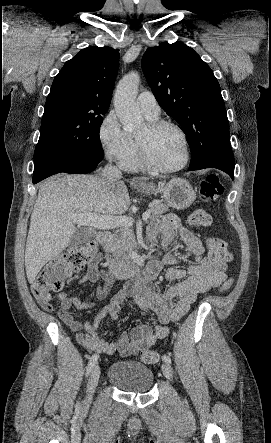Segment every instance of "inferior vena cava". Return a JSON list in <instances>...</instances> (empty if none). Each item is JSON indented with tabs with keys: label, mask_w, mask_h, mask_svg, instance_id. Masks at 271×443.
Listing matches in <instances>:
<instances>
[{
	"label": "inferior vena cava",
	"mask_w": 271,
	"mask_h": 443,
	"mask_svg": "<svg viewBox=\"0 0 271 443\" xmlns=\"http://www.w3.org/2000/svg\"><path fill=\"white\" fill-rule=\"evenodd\" d=\"M101 178H103L105 182H112L115 178H122V172H120L118 168H115V166H112V164H107L104 170H102Z\"/></svg>",
	"instance_id": "1"
}]
</instances>
